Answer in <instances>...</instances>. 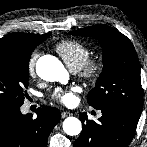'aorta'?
Wrapping results in <instances>:
<instances>
[{
  "mask_svg": "<svg viewBox=\"0 0 147 147\" xmlns=\"http://www.w3.org/2000/svg\"><path fill=\"white\" fill-rule=\"evenodd\" d=\"M38 76L49 82L66 83L69 74L64 65L54 56H41L36 62ZM63 130L67 135H78L82 130L81 121L76 117H68L63 122Z\"/></svg>",
  "mask_w": 147,
  "mask_h": 147,
  "instance_id": "1",
  "label": "aorta"
}]
</instances>
